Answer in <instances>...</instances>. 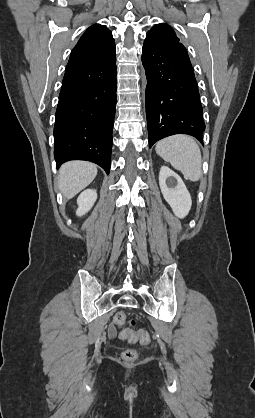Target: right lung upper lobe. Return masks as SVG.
I'll list each match as a JSON object with an SVG mask.
<instances>
[{"instance_id": "right-lung-upper-lobe-1", "label": "right lung upper lobe", "mask_w": 255, "mask_h": 418, "mask_svg": "<svg viewBox=\"0 0 255 418\" xmlns=\"http://www.w3.org/2000/svg\"><path fill=\"white\" fill-rule=\"evenodd\" d=\"M115 57V42L111 31L103 25L94 24L73 48L66 70L107 62Z\"/></svg>"}]
</instances>
